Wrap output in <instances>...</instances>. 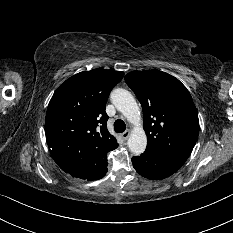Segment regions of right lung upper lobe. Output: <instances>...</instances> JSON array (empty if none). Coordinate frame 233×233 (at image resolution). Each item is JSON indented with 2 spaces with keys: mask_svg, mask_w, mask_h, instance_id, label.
Listing matches in <instances>:
<instances>
[{
  "mask_svg": "<svg viewBox=\"0 0 233 233\" xmlns=\"http://www.w3.org/2000/svg\"><path fill=\"white\" fill-rule=\"evenodd\" d=\"M123 76L113 70L83 71L53 94L45 134L54 161L65 173L96 176L107 167V153L118 143L107 130L105 105Z\"/></svg>",
  "mask_w": 233,
  "mask_h": 233,
  "instance_id": "right-lung-upper-lobe-1",
  "label": "right lung upper lobe"
}]
</instances>
